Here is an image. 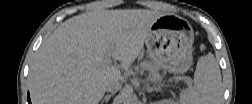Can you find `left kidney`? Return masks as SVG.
<instances>
[{
  "mask_svg": "<svg viewBox=\"0 0 252 104\" xmlns=\"http://www.w3.org/2000/svg\"><path fill=\"white\" fill-rule=\"evenodd\" d=\"M164 102H165V103H168L169 101L166 100V101H164Z\"/></svg>",
  "mask_w": 252,
  "mask_h": 104,
  "instance_id": "left-kidney-1",
  "label": "left kidney"
}]
</instances>
